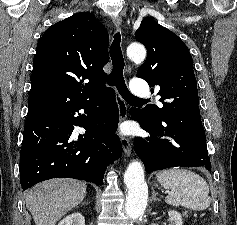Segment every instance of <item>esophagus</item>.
<instances>
[{"label": "esophagus", "mask_w": 237, "mask_h": 225, "mask_svg": "<svg viewBox=\"0 0 237 225\" xmlns=\"http://www.w3.org/2000/svg\"><path fill=\"white\" fill-rule=\"evenodd\" d=\"M113 24L116 27H120L122 24V18L120 16H114L112 18ZM117 105L119 109V124L123 123L127 119V105L126 102L122 99L120 95L117 96ZM117 135L119 137L120 143L123 147V150L127 156L131 155V142L127 136H125L121 130L120 127L117 130Z\"/></svg>", "instance_id": "obj_1"}]
</instances>
